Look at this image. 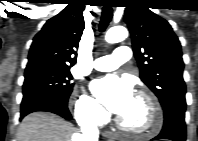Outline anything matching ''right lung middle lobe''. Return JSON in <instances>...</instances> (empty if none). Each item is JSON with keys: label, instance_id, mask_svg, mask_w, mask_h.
<instances>
[{"label": "right lung middle lobe", "instance_id": "1", "mask_svg": "<svg viewBox=\"0 0 198 141\" xmlns=\"http://www.w3.org/2000/svg\"><path fill=\"white\" fill-rule=\"evenodd\" d=\"M73 79L69 69H38L25 72L23 95L40 93L67 101L72 89Z\"/></svg>", "mask_w": 198, "mask_h": 141}]
</instances>
